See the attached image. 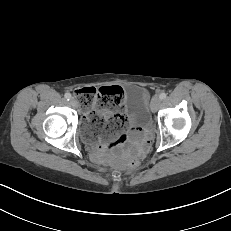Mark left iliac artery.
Wrapping results in <instances>:
<instances>
[{
	"label": "left iliac artery",
	"mask_w": 231,
	"mask_h": 231,
	"mask_svg": "<svg viewBox=\"0 0 231 231\" xmlns=\"http://www.w3.org/2000/svg\"><path fill=\"white\" fill-rule=\"evenodd\" d=\"M160 99L163 100L166 98V93L162 92L160 95H159Z\"/></svg>",
	"instance_id": "44dca946"
}]
</instances>
